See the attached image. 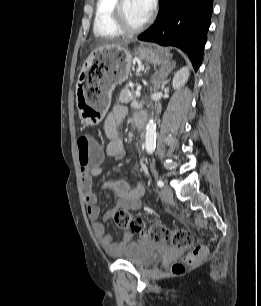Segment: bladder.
Instances as JSON below:
<instances>
[{
  "label": "bladder",
  "instance_id": "31cf9c89",
  "mask_svg": "<svg viewBox=\"0 0 261 306\" xmlns=\"http://www.w3.org/2000/svg\"><path fill=\"white\" fill-rule=\"evenodd\" d=\"M117 258L129 262L136 267H147L158 260L156 244L149 239H141L125 253L117 255Z\"/></svg>",
  "mask_w": 261,
  "mask_h": 306
}]
</instances>
